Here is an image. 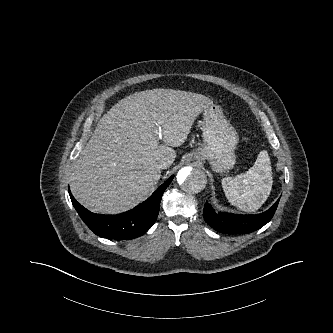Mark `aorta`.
Wrapping results in <instances>:
<instances>
[{"instance_id": "1", "label": "aorta", "mask_w": 333, "mask_h": 333, "mask_svg": "<svg viewBox=\"0 0 333 333\" xmlns=\"http://www.w3.org/2000/svg\"><path fill=\"white\" fill-rule=\"evenodd\" d=\"M177 183L186 193H199L206 186V175L202 170L190 167L182 168L177 173Z\"/></svg>"}]
</instances>
